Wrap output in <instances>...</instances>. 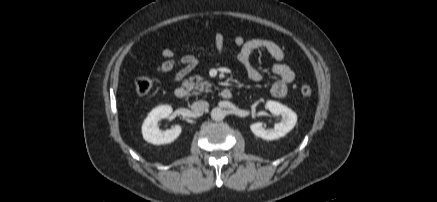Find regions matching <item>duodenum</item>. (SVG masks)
<instances>
[{"label":"duodenum","instance_id":"duodenum-1","mask_svg":"<svg viewBox=\"0 0 437 202\" xmlns=\"http://www.w3.org/2000/svg\"><path fill=\"white\" fill-rule=\"evenodd\" d=\"M175 97L178 99H185L188 96V91L184 86H178L174 91ZM220 96L223 99H231L233 94L228 88H224L220 92Z\"/></svg>","mask_w":437,"mask_h":202}]
</instances>
